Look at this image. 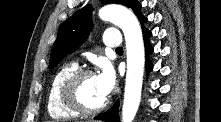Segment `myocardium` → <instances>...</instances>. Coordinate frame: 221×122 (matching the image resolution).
<instances>
[{"instance_id": "1", "label": "myocardium", "mask_w": 221, "mask_h": 122, "mask_svg": "<svg viewBox=\"0 0 221 122\" xmlns=\"http://www.w3.org/2000/svg\"><path fill=\"white\" fill-rule=\"evenodd\" d=\"M90 76H95L94 72L89 69H76L69 74L60 87V97L62 103L69 108L82 115H94L103 111L108 105V99H105L96 107L86 106L79 98L78 87L80 82Z\"/></svg>"}]
</instances>
